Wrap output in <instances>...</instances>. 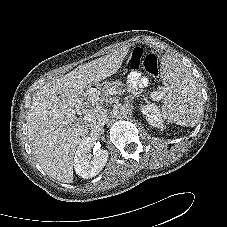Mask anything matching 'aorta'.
<instances>
[{
  "label": "aorta",
  "mask_w": 227,
  "mask_h": 227,
  "mask_svg": "<svg viewBox=\"0 0 227 227\" xmlns=\"http://www.w3.org/2000/svg\"><path fill=\"white\" fill-rule=\"evenodd\" d=\"M112 113L117 119H124L130 114V109L125 105L118 104L113 108Z\"/></svg>",
  "instance_id": "obj_1"
}]
</instances>
